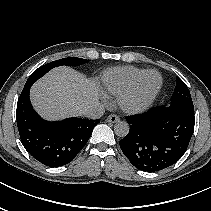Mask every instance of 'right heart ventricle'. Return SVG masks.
Wrapping results in <instances>:
<instances>
[{
	"mask_svg": "<svg viewBox=\"0 0 211 211\" xmlns=\"http://www.w3.org/2000/svg\"><path fill=\"white\" fill-rule=\"evenodd\" d=\"M145 71L132 66L111 68L102 74L101 83L106 92L120 96L129 90Z\"/></svg>",
	"mask_w": 211,
	"mask_h": 211,
	"instance_id": "e07e8e85",
	"label": "right heart ventricle"
}]
</instances>
